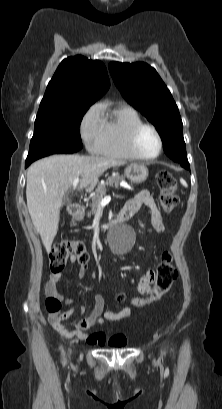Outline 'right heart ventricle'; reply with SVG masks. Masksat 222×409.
I'll use <instances>...</instances> for the list:
<instances>
[{
	"label": "right heart ventricle",
	"mask_w": 222,
	"mask_h": 409,
	"mask_svg": "<svg viewBox=\"0 0 222 409\" xmlns=\"http://www.w3.org/2000/svg\"><path fill=\"white\" fill-rule=\"evenodd\" d=\"M104 132L98 153L117 160H137L128 145L131 130L143 123L131 106L120 104L103 113Z\"/></svg>",
	"instance_id": "right-heart-ventricle-1"
}]
</instances>
